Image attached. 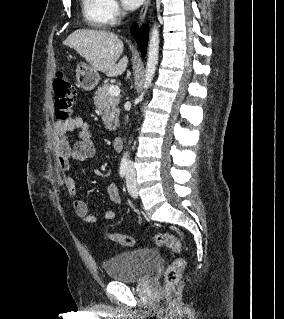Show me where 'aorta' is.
Returning a JSON list of instances; mask_svg holds the SVG:
<instances>
[{"label": "aorta", "mask_w": 284, "mask_h": 319, "mask_svg": "<svg viewBox=\"0 0 284 319\" xmlns=\"http://www.w3.org/2000/svg\"><path fill=\"white\" fill-rule=\"evenodd\" d=\"M159 30L158 25L154 24L152 31L149 37L148 44V58L146 64V73H145V81L143 84V92L139 96V100L142 101L145 92L151 86L153 77L155 75L157 65H158V56H159ZM128 157V152L124 153V158Z\"/></svg>", "instance_id": "obj_1"}]
</instances>
